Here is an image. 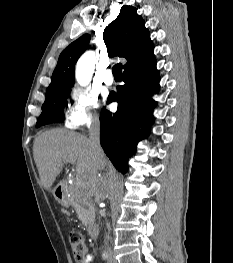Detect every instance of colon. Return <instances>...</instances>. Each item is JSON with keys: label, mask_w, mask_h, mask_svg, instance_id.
<instances>
[{"label": "colon", "mask_w": 233, "mask_h": 263, "mask_svg": "<svg viewBox=\"0 0 233 263\" xmlns=\"http://www.w3.org/2000/svg\"><path fill=\"white\" fill-rule=\"evenodd\" d=\"M69 242L75 260L78 262L81 261L87 253V241L85 236L78 231H71L69 233Z\"/></svg>", "instance_id": "obj_1"}]
</instances>
